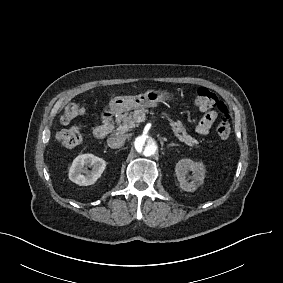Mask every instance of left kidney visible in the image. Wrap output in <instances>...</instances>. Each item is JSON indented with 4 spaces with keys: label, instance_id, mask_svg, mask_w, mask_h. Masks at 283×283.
Masks as SVG:
<instances>
[{
    "label": "left kidney",
    "instance_id": "5707ae66",
    "mask_svg": "<svg viewBox=\"0 0 283 283\" xmlns=\"http://www.w3.org/2000/svg\"><path fill=\"white\" fill-rule=\"evenodd\" d=\"M188 171L193 172L192 181L186 179ZM175 173L181 189L194 192L204 182L205 167L202 162H194L190 159H182L175 166Z\"/></svg>",
    "mask_w": 283,
    "mask_h": 283
}]
</instances>
